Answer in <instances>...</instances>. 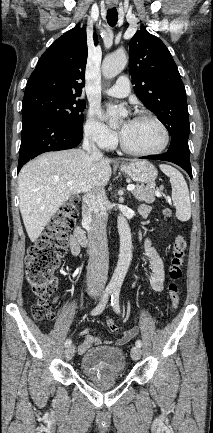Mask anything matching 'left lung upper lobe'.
I'll return each instance as SVG.
<instances>
[{"label":"left lung upper lobe","instance_id":"1","mask_svg":"<svg viewBox=\"0 0 213 433\" xmlns=\"http://www.w3.org/2000/svg\"><path fill=\"white\" fill-rule=\"evenodd\" d=\"M129 50V68L137 97L169 131V149L189 152L186 92L169 50L146 30L135 33L129 42Z\"/></svg>","mask_w":213,"mask_h":433}]
</instances>
